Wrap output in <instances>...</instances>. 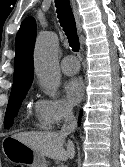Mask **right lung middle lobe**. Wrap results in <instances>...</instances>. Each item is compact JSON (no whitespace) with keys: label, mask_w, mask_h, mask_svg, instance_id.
I'll use <instances>...</instances> for the list:
<instances>
[{"label":"right lung middle lobe","mask_w":125,"mask_h":167,"mask_svg":"<svg viewBox=\"0 0 125 167\" xmlns=\"http://www.w3.org/2000/svg\"><path fill=\"white\" fill-rule=\"evenodd\" d=\"M27 92H28V89L19 91L17 93H12L10 95L5 118H4L5 128L8 129L12 126L13 120L17 116L18 110Z\"/></svg>","instance_id":"1"}]
</instances>
